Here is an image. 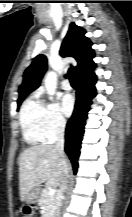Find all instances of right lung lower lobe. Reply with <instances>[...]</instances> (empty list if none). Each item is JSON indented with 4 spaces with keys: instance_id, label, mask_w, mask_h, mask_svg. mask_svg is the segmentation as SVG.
Returning <instances> with one entry per match:
<instances>
[{
    "instance_id": "1",
    "label": "right lung lower lobe",
    "mask_w": 132,
    "mask_h": 217,
    "mask_svg": "<svg viewBox=\"0 0 132 217\" xmlns=\"http://www.w3.org/2000/svg\"><path fill=\"white\" fill-rule=\"evenodd\" d=\"M95 82L96 76L78 81L74 112L66 127L65 152L72 162L74 173L77 172L79 150L81 148L87 112L89 111V105L92 103L91 99L96 95Z\"/></svg>"
}]
</instances>
